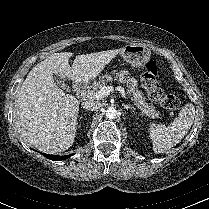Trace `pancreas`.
I'll return each mask as SVG.
<instances>
[{
	"instance_id": "1",
	"label": "pancreas",
	"mask_w": 209,
	"mask_h": 209,
	"mask_svg": "<svg viewBox=\"0 0 209 209\" xmlns=\"http://www.w3.org/2000/svg\"><path fill=\"white\" fill-rule=\"evenodd\" d=\"M112 74L115 76V79H117L120 83L126 84L128 92L131 95V100L134 101V104L142 111V113L151 118L159 117V112L155 110V107L145 102V97L143 96L142 92L137 88V80L134 77H130L127 70H121L119 72L113 71ZM112 80L113 78L111 77V75H103L98 82H94L93 86H91V88L85 92L87 98L90 101L100 99L95 96L96 93L103 86H105L106 82Z\"/></svg>"
}]
</instances>
